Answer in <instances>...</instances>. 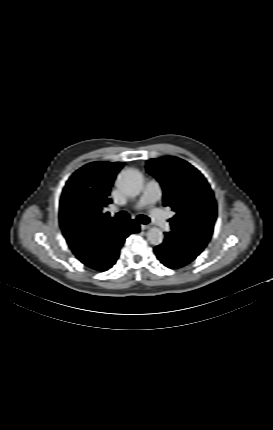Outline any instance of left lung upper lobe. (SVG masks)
Here are the masks:
<instances>
[{
	"instance_id": "obj_1",
	"label": "left lung upper lobe",
	"mask_w": 273,
	"mask_h": 430,
	"mask_svg": "<svg viewBox=\"0 0 273 430\" xmlns=\"http://www.w3.org/2000/svg\"><path fill=\"white\" fill-rule=\"evenodd\" d=\"M146 170L163 188V205L176 213L169 220L175 243L199 255L211 238L217 216L207 180L192 165L173 156L147 161Z\"/></svg>"
}]
</instances>
